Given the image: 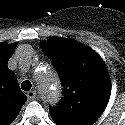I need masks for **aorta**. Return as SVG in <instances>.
Instances as JSON below:
<instances>
[{"label": "aorta", "instance_id": "aorta-1", "mask_svg": "<svg viewBox=\"0 0 125 125\" xmlns=\"http://www.w3.org/2000/svg\"><path fill=\"white\" fill-rule=\"evenodd\" d=\"M36 82L41 98L49 104H56L61 97V84L51 66H46L36 74Z\"/></svg>", "mask_w": 125, "mask_h": 125}]
</instances>
